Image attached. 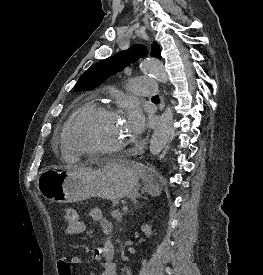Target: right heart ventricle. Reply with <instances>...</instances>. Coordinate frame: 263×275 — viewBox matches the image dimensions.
I'll list each match as a JSON object with an SVG mask.
<instances>
[{
  "mask_svg": "<svg viewBox=\"0 0 263 275\" xmlns=\"http://www.w3.org/2000/svg\"><path fill=\"white\" fill-rule=\"evenodd\" d=\"M91 106H93V101L92 100H87L85 101L80 107H78L73 113L72 115L69 117V119L66 121L64 128H63V133H62V151L63 154L69 158V159H76L78 157V154L74 151V149L72 148V146L70 145L67 137L68 134L70 132V128L74 122V120L76 119V117L78 115H80L82 112H84L85 110H87L88 108H90Z\"/></svg>",
  "mask_w": 263,
  "mask_h": 275,
  "instance_id": "e07e8e85",
  "label": "right heart ventricle"
}]
</instances>
